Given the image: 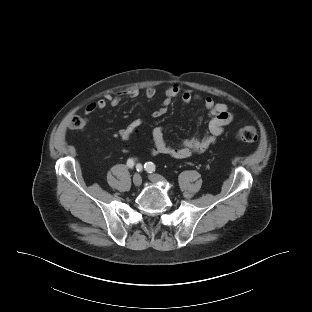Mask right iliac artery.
<instances>
[{
  "instance_id": "obj_1",
  "label": "right iliac artery",
  "mask_w": 312,
  "mask_h": 312,
  "mask_svg": "<svg viewBox=\"0 0 312 312\" xmlns=\"http://www.w3.org/2000/svg\"><path fill=\"white\" fill-rule=\"evenodd\" d=\"M134 164H135V161L133 159H128L127 166L129 168H133ZM136 168H137V171H142V165L141 164H137Z\"/></svg>"
}]
</instances>
